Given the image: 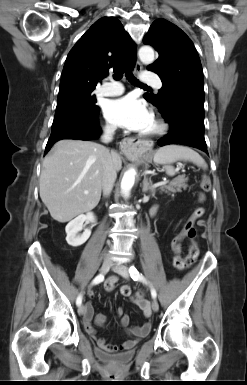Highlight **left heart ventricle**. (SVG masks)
Instances as JSON below:
<instances>
[{"mask_svg": "<svg viewBox=\"0 0 247 385\" xmlns=\"http://www.w3.org/2000/svg\"><path fill=\"white\" fill-rule=\"evenodd\" d=\"M154 126H155V123H154V121L152 120L151 124L149 125V127H148L144 132H149V131L153 130V129H154Z\"/></svg>", "mask_w": 247, "mask_h": 385, "instance_id": "b2bd125f", "label": "left heart ventricle"}]
</instances>
